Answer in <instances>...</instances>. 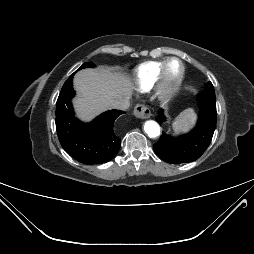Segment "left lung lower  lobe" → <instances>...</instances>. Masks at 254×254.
I'll list each match as a JSON object with an SVG mask.
<instances>
[{
  "label": "left lung lower lobe",
  "mask_w": 254,
  "mask_h": 254,
  "mask_svg": "<svg viewBox=\"0 0 254 254\" xmlns=\"http://www.w3.org/2000/svg\"><path fill=\"white\" fill-rule=\"evenodd\" d=\"M200 116L196 127L187 135L172 138L163 132L159 141L153 145L159 158L171 163L180 164L197 160L208 148L216 127L215 93L200 92L197 95ZM156 120L159 124L166 120L160 109Z\"/></svg>",
  "instance_id": "left-lung-lower-lobe-1"
}]
</instances>
